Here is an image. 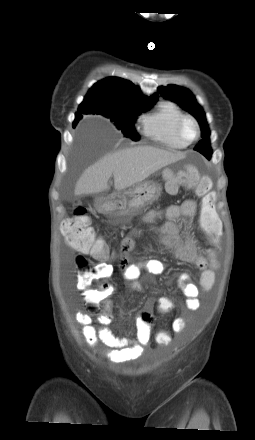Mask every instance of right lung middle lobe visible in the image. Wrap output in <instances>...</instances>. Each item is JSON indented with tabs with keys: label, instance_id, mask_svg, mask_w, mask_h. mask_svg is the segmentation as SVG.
Returning <instances> with one entry per match:
<instances>
[{
	"label": "right lung middle lobe",
	"instance_id": "1",
	"mask_svg": "<svg viewBox=\"0 0 255 440\" xmlns=\"http://www.w3.org/2000/svg\"><path fill=\"white\" fill-rule=\"evenodd\" d=\"M154 103L155 102L110 104L99 100L84 98L79 106L77 115L79 116V120L82 118V114L103 115L114 122L115 126L123 132L124 137L138 141L140 137L134 128L135 117L150 109Z\"/></svg>",
	"mask_w": 255,
	"mask_h": 440
}]
</instances>
